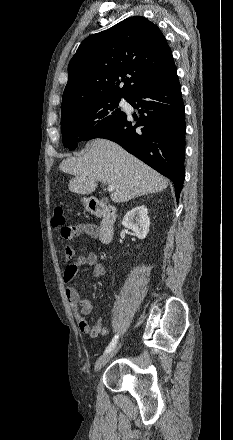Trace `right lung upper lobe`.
<instances>
[{"label": "right lung upper lobe", "mask_w": 233, "mask_h": 440, "mask_svg": "<svg viewBox=\"0 0 233 440\" xmlns=\"http://www.w3.org/2000/svg\"><path fill=\"white\" fill-rule=\"evenodd\" d=\"M174 68L159 28L144 17H130L81 43L68 65L61 109L95 98L128 99Z\"/></svg>", "instance_id": "obj_1"}]
</instances>
